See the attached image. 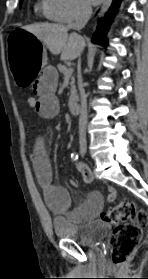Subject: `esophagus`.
I'll return each instance as SVG.
<instances>
[{"mask_svg": "<svg viewBox=\"0 0 148 279\" xmlns=\"http://www.w3.org/2000/svg\"><path fill=\"white\" fill-rule=\"evenodd\" d=\"M111 2V0H104L101 8H100V16H103L105 14V12L108 9L109 3Z\"/></svg>", "mask_w": 148, "mask_h": 279, "instance_id": "1", "label": "esophagus"}]
</instances>
